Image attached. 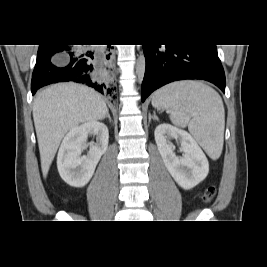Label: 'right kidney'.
<instances>
[{
    "instance_id": "1",
    "label": "right kidney",
    "mask_w": 267,
    "mask_h": 267,
    "mask_svg": "<svg viewBox=\"0 0 267 267\" xmlns=\"http://www.w3.org/2000/svg\"><path fill=\"white\" fill-rule=\"evenodd\" d=\"M95 135L88 156H81L88 135ZM109 132L104 123L85 122L71 129L64 137L57 156L61 178L73 187L85 186L94 174L96 165L108 148Z\"/></svg>"
}]
</instances>
